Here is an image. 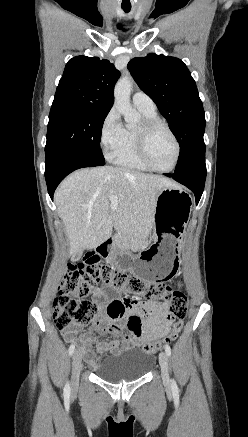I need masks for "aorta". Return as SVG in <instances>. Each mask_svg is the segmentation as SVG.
I'll return each mask as SVG.
<instances>
[{
  "mask_svg": "<svg viewBox=\"0 0 248 437\" xmlns=\"http://www.w3.org/2000/svg\"><path fill=\"white\" fill-rule=\"evenodd\" d=\"M132 82L128 76L119 79L114 88L115 106L127 123L138 122L140 114L130 104Z\"/></svg>",
  "mask_w": 248,
  "mask_h": 437,
  "instance_id": "obj_1",
  "label": "aorta"
}]
</instances>
